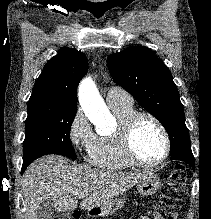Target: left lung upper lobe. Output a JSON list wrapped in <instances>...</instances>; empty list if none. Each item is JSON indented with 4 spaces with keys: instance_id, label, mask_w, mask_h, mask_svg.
<instances>
[{
    "instance_id": "5c2ea615",
    "label": "left lung upper lobe",
    "mask_w": 211,
    "mask_h": 219,
    "mask_svg": "<svg viewBox=\"0 0 211 219\" xmlns=\"http://www.w3.org/2000/svg\"><path fill=\"white\" fill-rule=\"evenodd\" d=\"M107 65L115 82L166 129L170 154L190 146L184 108L168 67L147 47L134 46L111 54Z\"/></svg>"
}]
</instances>
